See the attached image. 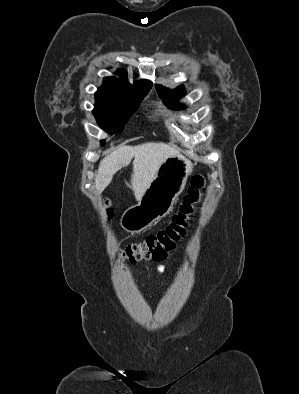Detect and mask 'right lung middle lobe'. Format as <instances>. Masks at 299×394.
Segmentation results:
<instances>
[{
  "label": "right lung middle lobe",
  "mask_w": 299,
  "mask_h": 394,
  "mask_svg": "<svg viewBox=\"0 0 299 394\" xmlns=\"http://www.w3.org/2000/svg\"><path fill=\"white\" fill-rule=\"evenodd\" d=\"M146 95L130 92L95 95L96 104L92 113L103 130L111 134L119 133Z\"/></svg>",
  "instance_id": "1"
}]
</instances>
